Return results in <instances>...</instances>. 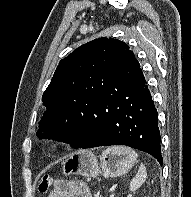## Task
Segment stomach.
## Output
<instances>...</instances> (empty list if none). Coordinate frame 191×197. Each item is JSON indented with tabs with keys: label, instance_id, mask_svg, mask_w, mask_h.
Segmentation results:
<instances>
[{
	"label": "stomach",
	"instance_id": "obj_1",
	"mask_svg": "<svg viewBox=\"0 0 191 197\" xmlns=\"http://www.w3.org/2000/svg\"><path fill=\"white\" fill-rule=\"evenodd\" d=\"M126 156L107 149L97 157L89 150H80L70 155L63 162V173L65 175L117 177L126 173L131 166Z\"/></svg>",
	"mask_w": 191,
	"mask_h": 197
}]
</instances>
